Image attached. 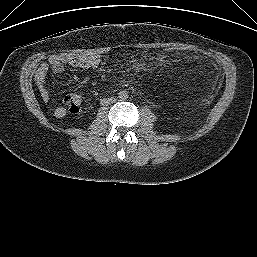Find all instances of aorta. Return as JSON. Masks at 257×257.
I'll return each mask as SVG.
<instances>
[{
  "label": "aorta",
  "instance_id": "obj_1",
  "mask_svg": "<svg viewBox=\"0 0 257 257\" xmlns=\"http://www.w3.org/2000/svg\"><path fill=\"white\" fill-rule=\"evenodd\" d=\"M118 97H119L120 100H127L128 97H129L128 91H126V90L120 91L118 93Z\"/></svg>",
  "mask_w": 257,
  "mask_h": 257
}]
</instances>
